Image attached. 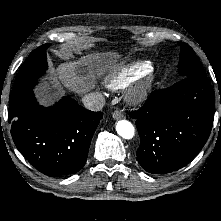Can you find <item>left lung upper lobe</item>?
I'll use <instances>...</instances> for the list:
<instances>
[{
  "mask_svg": "<svg viewBox=\"0 0 221 221\" xmlns=\"http://www.w3.org/2000/svg\"><path fill=\"white\" fill-rule=\"evenodd\" d=\"M181 47L179 58V75L181 78L188 76L206 77L202 64L195 55L193 49L186 43H179Z\"/></svg>",
  "mask_w": 221,
  "mask_h": 221,
  "instance_id": "5c2ea615",
  "label": "left lung upper lobe"
}]
</instances>
